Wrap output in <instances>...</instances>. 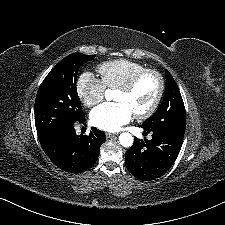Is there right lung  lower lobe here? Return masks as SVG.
I'll return each instance as SVG.
<instances>
[{
  "label": "right lung lower lobe",
  "instance_id": "obj_1",
  "mask_svg": "<svg viewBox=\"0 0 225 225\" xmlns=\"http://www.w3.org/2000/svg\"><path fill=\"white\" fill-rule=\"evenodd\" d=\"M78 121L84 123L85 115ZM73 125L48 132L39 137V141L46 155L58 168L80 173L93 166L98 159L105 134L93 127L89 135L79 136Z\"/></svg>",
  "mask_w": 225,
  "mask_h": 225
}]
</instances>
